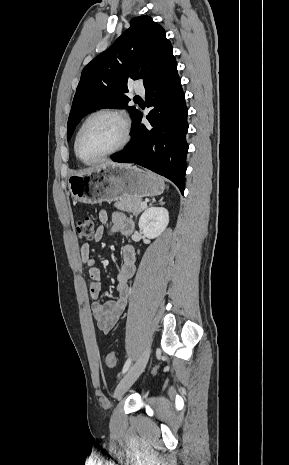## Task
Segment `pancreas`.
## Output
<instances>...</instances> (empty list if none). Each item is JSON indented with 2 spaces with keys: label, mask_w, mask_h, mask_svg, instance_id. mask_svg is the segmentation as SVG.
<instances>
[{
  "label": "pancreas",
  "mask_w": 289,
  "mask_h": 465,
  "mask_svg": "<svg viewBox=\"0 0 289 465\" xmlns=\"http://www.w3.org/2000/svg\"><path fill=\"white\" fill-rule=\"evenodd\" d=\"M142 199L123 197L119 199L114 206L121 211L132 212L134 215H138L144 207L142 206Z\"/></svg>",
  "instance_id": "pancreas-1"
}]
</instances>
